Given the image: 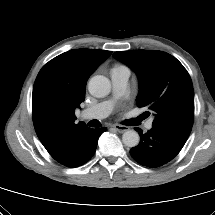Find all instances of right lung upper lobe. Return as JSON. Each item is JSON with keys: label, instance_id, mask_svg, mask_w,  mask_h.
Here are the masks:
<instances>
[{"label": "right lung upper lobe", "instance_id": "obj_1", "mask_svg": "<svg viewBox=\"0 0 215 215\" xmlns=\"http://www.w3.org/2000/svg\"><path fill=\"white\" fill-rule=\"evenodd\" d=\"M111 51L73 49L58 55L40 70L32 93V115L36 133L59 163L68 161L77 140L88 128L75 123V109L84 101L86 83Z\"/></svg>", "mask_w": 215, "mask_h": 215}]
</instances>
